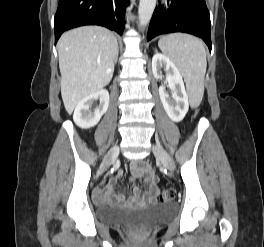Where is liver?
Masks as SVG:
<instances>
[{
  "label": "liver",
  "instance_id": "liver-1",
  "mask_svg": "<svg viewBox=\"0 0 264 247\" xmlns=\"http://www.w3.org/2000/svg\"><path fill=\"white\" fill-rule=\"evenodd\" d=\"M61 95L68 114L112 79L118 44L108 29L84 26L65 32L57 43Z\"/></svg>",
  "mask_w": 264,
  "mask_h": 247
}]
</instances>
